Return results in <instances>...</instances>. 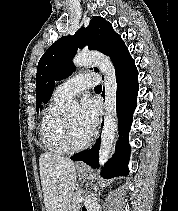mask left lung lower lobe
<instances>
[{
  "mask_svg": "<svg viewBox=\"0 0 178 211\" xmlns=\"http://www.w3.org/2000/svg\"><path fill=\"white\" fill-rule=\"evenodd\" d=\"M117 80L116 109L120 136L124 135L118 143L114 156L103 167L101 175L105 178L127 176L129 174L128 161L130 146L127 141L131 128L133 112L137 105L138 71L135 62L127 52L115 66ZM104 95V93H103ZM100 138L90 150L75 154L72 160L84 161L91 167L98 166Z\"/></svg>",
  "mask_w": 178,
  "mask_h": 211,
  "instance_id": "left-lung-lower-lobe-1",
  "label": "left lung lower lobe"
}]
</instances>
